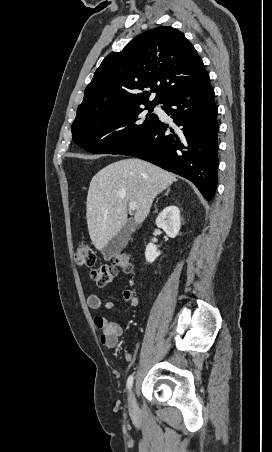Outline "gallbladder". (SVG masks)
<instances>
[{"label": "gallbladder", "mask_w": 272, "mask_h": 452, "mask_svg": "<svg viewBox=\"0 0 272 452\" xmlns=\"http://www.w3.org/2000/svg\"><path fill=\"white\" fill-rule=\"evenodd\" d=\"M136 229V224L132 219H129L121 228V230L107 243L102 249V255L105 260H109L117 256L126 247L131 234Z\"/></svg>", "instance_id": "gallbladder-1"}]
</instances>
